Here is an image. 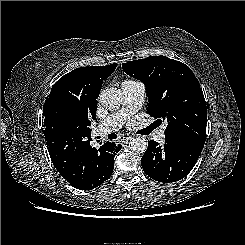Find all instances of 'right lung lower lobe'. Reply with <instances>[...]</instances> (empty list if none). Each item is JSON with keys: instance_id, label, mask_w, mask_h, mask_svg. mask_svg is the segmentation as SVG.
<instances>
[{"instance_id": "98d812e1", "label": "right lung lower lobe", "mask_w": 245, "mask_h": 245, "mask_svg": "<svg viewBox=\"0 0 245 245\" xmlns=\"http://www.w3.org/2000/svg\"><path fill=\"white\" fill-rule=\"evenodd\" d=\"M46 143L57 171L80 190L93 189L111 176L115 154L122 147L120 144L106 142L97 150L90 146V141L74 147L64 137Z\"/></svg>"}]
</instances>
